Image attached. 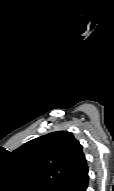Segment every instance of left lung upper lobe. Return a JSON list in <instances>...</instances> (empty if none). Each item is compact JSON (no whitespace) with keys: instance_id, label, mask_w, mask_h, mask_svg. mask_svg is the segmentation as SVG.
Masks as SVG:
<instances>
[{"instance_id":"left-lung-upper-lobe-1","label":"left lung upper lobe","mask_w":114,"mask_h":191,"mask_svg":"<svg viewBox=\"0 0 114 191\" xmlns=\"http://www.w3.org/2000/svg\"><path fill=\"white\" fill-rule=\"evenodd\" d=\"M13 155L20 169L45 191H65L87 165L82 145L67 131L33 139Z\"/></svg>"}]
</instances>
